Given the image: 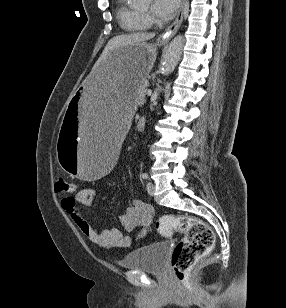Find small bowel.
I'll return each instance as SVG.
<instances>
[{"label": "small bowel", "mask_w": 286, "mask_h": 308, "mask_svg": "<svg viewBox=\"0 0 286 308\" xmlns=\"http://www.w3.org/2000/svg\"><path fill=\"white\" fill-rule=\"evenodd\" d=\"M95 195L92 188H83L76 192L74 197L62 199L63 209L70 214L75 224L87 239L104 250L126 248L131 245V237L124 235L118 228L98 229L81 213L77 205L90 206ZM153 218V209L150 205L133 199L129 206L120 214L118 221L123 230L132 232L135 229H147Z\"/></svg>", "instance_id": "obj_1"}]
</instances>
